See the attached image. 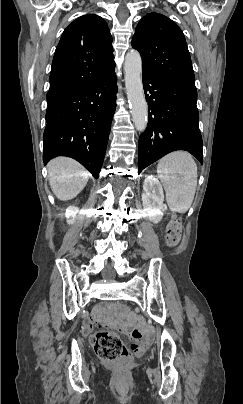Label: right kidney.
<instances>
[{
    "mask_svg": "<svg viewBox=\"0 0 243 404\" xmlns=\"http://www.w3.org/2000/svg\"><path fill=\"white\" fill-rule=\"evenodd\" d=\"M79 210L78 208H75V206H69L65 212V218H67V224H74L75 222V216L78 214Z\"/></svg>",
    "mask_w": 243,
    "mask_h": 404,
    "instance_id": "right-kidney-1",
    "label": "right kidney"
}]
</instances>
